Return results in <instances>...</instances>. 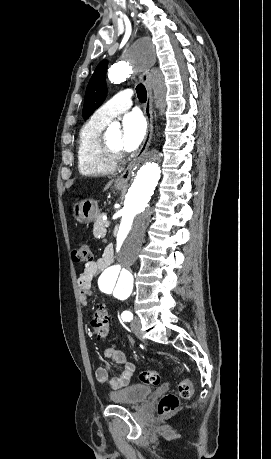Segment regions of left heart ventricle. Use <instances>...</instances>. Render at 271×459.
<instances>
[{"instance_id":"left-heart-ventricle-1","label":"left heart ventricle","mask_w":271,"mask_h":459,"mask_svg":"<svg viewBox=\"0 0 271 459\" xmlns=\"http://www.w3.org/2000/svg\"><path fill=\"white\" fill-rule=\"evenodd\" d=\"M106 138L113 147L123 148V135L121 130L107 133Z\"/></svg>"}]
</instances>
